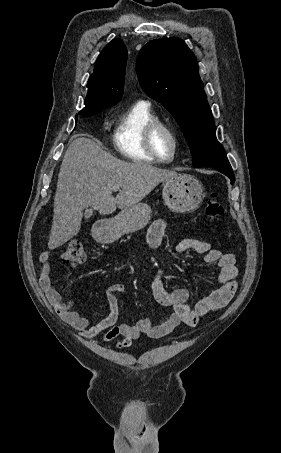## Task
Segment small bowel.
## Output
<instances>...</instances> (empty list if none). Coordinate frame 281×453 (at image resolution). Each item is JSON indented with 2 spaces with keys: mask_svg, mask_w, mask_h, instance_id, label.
Returning a JSON list of instances; mask_svg holds the SVG:
<instances>
[{
  "mask_svg": "<svg viewBox=\"0 0 281 453\" xmlns=\"http://www.w3.org/2000/svg\"><path fill=\"white\" fill-rule=\"evenodd\" d=\"M166 230L167 223L164 220H156L150 225L147 234V243L150 249H157L161 245ZM177 251L180 253L191 251L203 254L208 264H217L220 269L219 288L209 298L198 302L194 307L188 305L190 295L188 288H177L172 291L165 289L163 278L166 275V270L159 269L151 281V291L154 299L160 305L171 309L159 324H153L149 318L129 324L118 323L119 303L117 295L125 291L123 283H114L106 288L105 298L109 304L110 311L103 320L95 324H92L89 318L81 316L75 311L71 299L57 307L58 313L65 322L78 330L84 339L95 338L103 333L102 342H109L118 336H122L123 339L116 343V347L122 349L129 347L141 334L147 335L150 339L162 338L170 334L180 324L194 326L205 315L224 310L238 288L234 255L212 249L208 242L197 238L180 239L177 244ZM40 260V284L50 302L58 304L61 296L58 288L52 283L50 278L51 263L49 255L43 254Z\"/></svg>",
  "mask_w": 281,
  "mask_h": 453,
  "instance_id": "1",
  "label": "small bowel"
}]
</instances>
